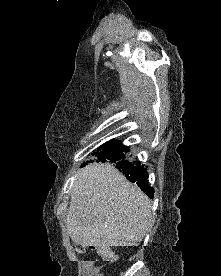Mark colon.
I'll return each mask as SVG.
<instances>
[{
  "label": "colon",
  "mask_w": 221,
  "mask_h": 276,
  "mask_svg": "<svg viewBox=\"0 0 221 276\" xmlns=\"http://www.w3.org/2000/svg\"><path fill=\"white\" fill-rule=\"evenodd\" d=\"M78 253L84 252L85 248L83 246H78L75 248ZM97 253L103 258L105 262L112 263L116 260L115 254L106 247L96 248Z\"/></svg>",
  "instance_id": "1"
}]
</instances>
